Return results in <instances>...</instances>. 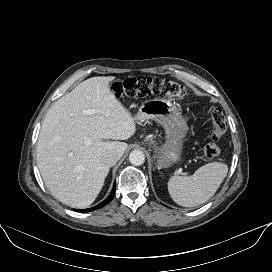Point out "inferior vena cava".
<instances>
[{
    "mask_svg": "<svg viewBox=\"0 0 272 272\" xmlns=\"http://www.w3.org/2000/svg\"><path fill=\"white\" fill-rule=\"evenodd\" d=\"M120 159V155L117 152H106L102 156V161L109 167L114 166L117 161Z\"/></svg>",
    "mask_w": 272,
    "mask_h": 272,
    "instance_id": "602c4592",
    "label": "inferior vena cava"
}]
</instances>
